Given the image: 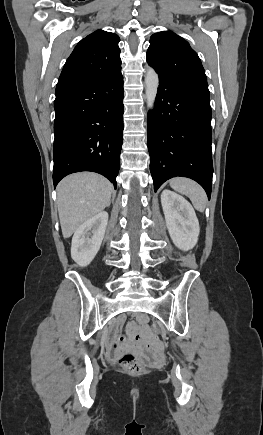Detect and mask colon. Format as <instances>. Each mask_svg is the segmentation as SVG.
<instances>
[{
    "label": "colon",
    "instance_id": "colon-1",
    "mask_svg": "<svg viewBox=\"0 0 263 435\" xmlns=\"http://www.w3.org/2000/svg\"><path fill=\"white\" fill-rule=\"evenodd\" d=\"M150 329L152 330V332H156L157 335H160V333H161L160 330H158V328L155 326V324H150ZM156 341H160V340H156ZM161 354H162V352H161ZM162 357H163V354H162ZM118 363L121 366V368L123 369V371H125L129 374H139L144 369L143 362L132 353H126V354L122 355L118 359Z\"/></svg>",
    "mask_w": 263,
    "mask_h": 435
}]
</instances>
